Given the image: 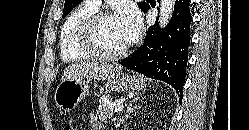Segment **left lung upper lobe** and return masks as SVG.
Listing matches in <instances>:
<instances>
[{"mask_svg": "<svg viewBox=\"0 0 249 130\" xmlns=\"http://www.w3.org/2000/svg\"><path fill=\"white\" fill-rule=\"evenodd\" d=\"M80 2L81 0H66L64 4L62 17H65L67 14H69L73 10V8L76 7ZM139 6L144 13H146L149 10V4L146 2L139 3Z\"/></svg>", "mask_w": 249, "mask_h": 130, "instance_id": "5c2ea615", "label": "left lung upper lobe"}]
</instances>
